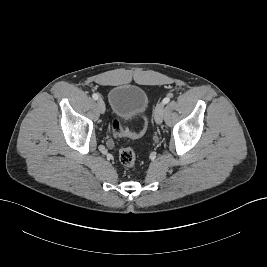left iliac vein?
Masks as SVG:
<instances>
[{"mask_svg": "<svg viewBox=\"0 0 267 267\" xmlns=\"http://www.w3.org/2000/svg\"><path fill=\"white\" fill-rule=\"evenodd\" d=\"M164 117V104L159 103L154 110V120L157 124H161Z\"/></svg>", "mask_w": 267, "mask_h": 267, "instance_id": "obj_1", "label": "left iliac vein"}]
</instances>
